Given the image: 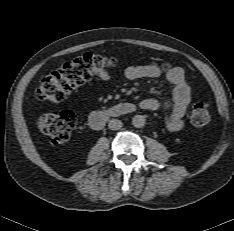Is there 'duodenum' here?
<instances>
[{
    "mask_svg": "<svg viewBox=\"0 0 234 231\" xmlns=\"http://www.w3.org/2000/svg\"><path fill=\"white\" fill-rule=\"evenodd\" d=\"M135 109L136 107L132 103H118L107 109L93 112L89 117V122L92 128L100 129L109 119L132 114Z\"/></svg>",
    "mask_w": 234,
    "mask_h": 231,
    "instance_id": "obj_1",
    "label": "duodenum"
}]
</instances>
